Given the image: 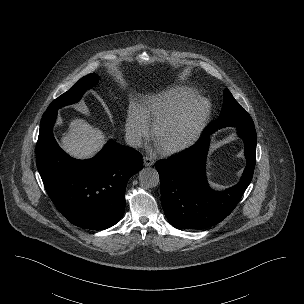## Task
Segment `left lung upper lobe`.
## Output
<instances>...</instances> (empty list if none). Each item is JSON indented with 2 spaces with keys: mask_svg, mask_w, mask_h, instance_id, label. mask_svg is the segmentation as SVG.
I'll return each instance as SVG.
<instances>
[{
  "mask_svg": "<svg viewBox=\"0 0 304 304\" xmlns=\"http://www.w3.org/2000/svg\"><path fill=\"white\" fill-rule=\"evenodd\" d=\"M224 103L218 119L214 120L208 127V130H217L226 126H247L254 127L251 116L234 99L228 89L224 90Z\"/></svg>",
  "mask_w": 304,
  "mask_h": 304,
  "instance_id": "obj_1",
  "label": "left lung upper lobe"
}]
</instances>
